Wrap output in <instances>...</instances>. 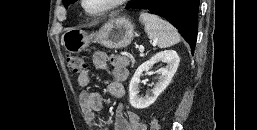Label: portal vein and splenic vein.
I'll use <instances>...</instances> for the list:
<instances>
[{"label": "portal vein and splenic vein", "mask_w": 257, "mask_h": 130, "mask_svg": "<svg viewBox=\"0 0 257 130\" xmlns=\"http://www.w3.org/2000/svg\"><path fill=\"white\" fill-rule=\"evenodd\" d=\"M138 48H139V51H140V52H143V51H144V47L140 46V47H138Z\"/></svg>", "instance_id": "obj_1"}]
</instances>
